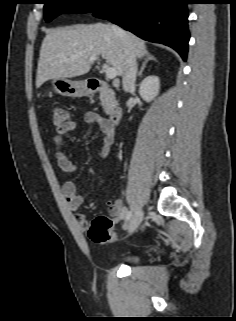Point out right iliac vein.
Here are the masks:
<instances>
[{"mask_svg":"<svg viewBox=\"0 0 236 321\" xmlns=\"http://www.w3.org/2000/svg\"><path fill=\"white\" fill-rule=\"evenodd\" d=\"M142 218L143 211L141 208H138L125 224V228L127 229V231L129 233L134 232L140 225Z\"/></svg>","mask_w":236,"mask_h":321,"instance_id":"right-iliac-vein-1","label":"right iliac vein"}]
</instances>
